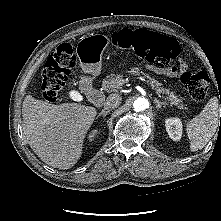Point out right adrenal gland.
<instances>
[{"mask_svg": "<svg viewBox=\"0 0 221 221\" xmlns=\"http://www.w3.org/2000/svg\"><path fill=\"white\" fill-rule=\"evenodd\" d=\"M109 113V111H101L98 115H97V117H96V119H98L99 117H103V118H105L106 117V115Z\"/></svg>", "mask_w": 221, "mask_h": 221, "instance_id": "2a0ac1e0", "label": "right adrenal gland"}]
</instances>
